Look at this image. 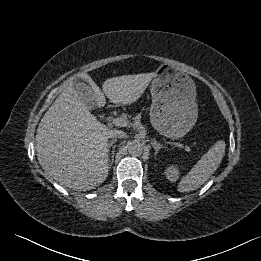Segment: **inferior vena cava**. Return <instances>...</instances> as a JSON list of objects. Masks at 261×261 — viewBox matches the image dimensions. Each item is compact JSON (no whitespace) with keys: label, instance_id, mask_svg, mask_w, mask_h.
<instances>
[{"label":"inferior vena cava","instance_id":"602c4592","mask_svg":"<svg viewBox=\"0 0 261 261\" xmlns=\"http://www.w3.org/2000/svg\"><path fill=\"white\" fill-rule=\"evenodd\" d=\"M109 137L110 138H113V139H116V138H125L126 137V133L121 131V130H116V129H113V130H110L109 132Z\"/></svg>","mask_w":261,"mask_h":261}]
</instances>
